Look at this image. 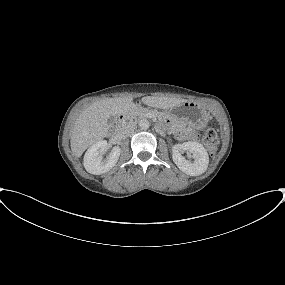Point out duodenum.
Instances as JSON below:
<instances>
[{
    "mask_svg": "<svg viewBox=\"0 0 285 285\" xmlns=\"http://www.w3.org/2000/svg\"><path fill=\"white\" fill-rule=\"evenodd\" d=\"M137 110L122 111L116 114L115 121L112 126V132L114 135H119L126 127V120L128 114H136Z\"/></svg>",
    "mask_w": 285,
    "mask_h": 285,
    "instance_id": "410a0bca",
    "label": "duodenum"
}]
</instances>
